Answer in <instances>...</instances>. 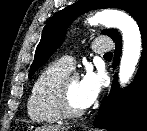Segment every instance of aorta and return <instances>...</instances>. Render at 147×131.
Instances as JSON below:
<instances>
[{
  "label": "aorta",
  "mask_w": 147,
  "mask_h": 131,
  "mask_svg": "<svg viewBox=\"0 0 147 131\" xmlns=\"http://www.w3.org/2000/svg\"><path fill=\"white\" fill-rule=\"evenodd\" d=\"M90 25L103 24L119 29L123 37V52L119 69L121 85L127 84L132 77L141 54V34L137 23L126 13L104 10L88 19Z\"/></svg>",
  "instance_id": "1"
}]
</instances>
